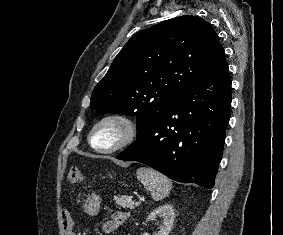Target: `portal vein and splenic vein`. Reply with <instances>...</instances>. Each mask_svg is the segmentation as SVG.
I'll return each mask as SVG.
<instances>
[{
	"instance_id": "18ae733b",
	"label": "portal vein and splenic vein",
	"mask_w": 283,
	"mask_h": 235,
	"mask_svg": "<svg viewBox=\"0 0 283 235\" xmlns=\"http://www.w3.org/2000/svg\"><path fill=\"white\" fill-rule=\"evenodd\" d=\"M136 204L138 205V204H140V202H136Z\"/></svg>"
}]
</instances>
